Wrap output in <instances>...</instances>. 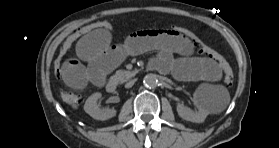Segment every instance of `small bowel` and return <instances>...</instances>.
I'll use <instances>...</instances> for the list:
<instances>
[{
	"mask_svg": "<svg viewBox=\"0 0 279 148\" xmlns=\"http://www.w3.org/2000/svg\"><path fill=\"white\" fill-rule=\"evenodd\" d=\"M157 50L151 65L162 72H172L180 80L218 81L221 68L213 60L194 55L190 42L165 30H140L119 44L111 43L109 31L96 30L83 36L76 45L77 57L62 66V79L75 88L100 85L106 74L129 56ZM174 54L180 55L175 58Z\"/></svg>",
	"mask_w": 279,
	"mask_h": 148,
	"instance_id": "c3829d8e",
	"label": "small bowel"
}]
</instances>
